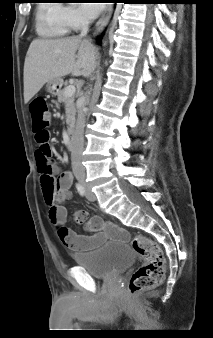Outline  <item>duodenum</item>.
<instances>
[{"label":"duodenum","mask_w":213,"mask_h":338,"mask_svg":"<svg viewBox=\"0 0 213 338\" xmlns=\"http://www.w3.org/2000/svg\"><path fill=\"white\" fill-rule=\"evenodd\" d=\"M72 137V136H71ZM72 139V138H71ZM71 145H72V140H70L69 141V143H68V147L70 148L71 147Z\"/></svg>","instance_id":"410a0bca"}]
</instances>
